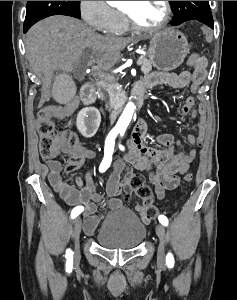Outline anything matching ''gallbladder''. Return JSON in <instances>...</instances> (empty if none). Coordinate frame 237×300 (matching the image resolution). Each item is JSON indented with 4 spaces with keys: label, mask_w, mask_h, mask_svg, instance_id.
<instances>
[{
    "label": "gallbladder",
    "mask_w": 237,
    "mask_h": 300,
    "mask_svg": "<svg viewBox=\"0 0 237 300\" xmlns=\"http://www.w3.org/2000/svg\"><path fill=\"white\" fill-rule=\"evenodd\" d=\"M55 87H53L54 101L57 105H70L76 92L75 84L68 72H59L56 76Z\"/></svg>",
    "instance_id": "obj_1"
}]
</instances>
